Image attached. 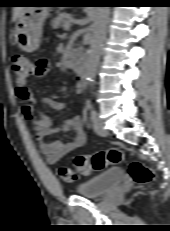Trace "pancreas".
Instances as JSON below:
<instances>
[{"label": "pancreas", "instance_id": "pancreas-1", "mask_svg": "<svg viewBox=\"0 0 170 231\" xmlns=\"http://www.w3.org/2000/svg\"><path fill=\"white\" fill-rule=\"evenodd\" d=\"M69 19V14L63 12V13H59L57 15V17H55L52 21H51V26L53 28H59V27H64V25L68 22Z\"/></svg>", "mask_w": 170, "mask_h": 231}]
</instances>
